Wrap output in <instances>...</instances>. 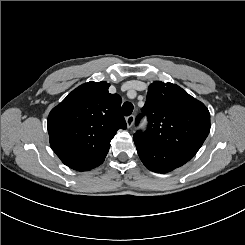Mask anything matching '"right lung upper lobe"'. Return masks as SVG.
<instances>
[{
    "instance_id": "1",
    "label": "right lung upper lobe",
    "mask_w": 245,
    "mask_h": 245,
    "mask_svg": "<svg viewBox=\"0 0 245 245\" xmlns=\"http://www.w3.org/2000/svg\"><path fill=\"white\" fill-rule=\"evenodd\" d=\"M110 84L87 82L73 90L48 116L50 145L61 161L77 171L104 161L118 129L127 127L120 114L121 97Z\"/></svg>"
}]
</instances>
